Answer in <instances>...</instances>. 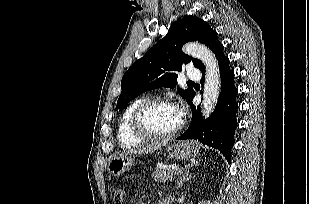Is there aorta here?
<instances>
[{"label":"aorta","mask_w":309,"mask_h":204,"mask_svg":"<svg viewBox=\"0 0 309 204\" xmlns=\"http://www.w3.org/2000/svg\"><path fill=\"white\" fill-rule=\"evenodd\" d=\"M184 53L201 60L205 66L206 75L202 101V115L209 117L218 101L221 80L218 62L214 54L206 46L199 43H187Z\"/></svg>","instance_id":"762f6f07"}]
</instances>
